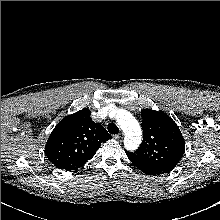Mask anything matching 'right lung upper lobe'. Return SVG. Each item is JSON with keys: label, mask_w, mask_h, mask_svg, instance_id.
Here are the masks:
<instances>
[{"label": "right lung upper lobe", "mask_w": 220, "mask_h": 220, "mask_svg": "<svg viewBox=\"0 0 220 220\" xmlns=\"http://www.w3.org/2000/svg\"><path fill=\"white\" fill-rule=\"evenodd\" d=\"M90 110L82 109L63 118L51 132L47 158L59 169L76 170L91 159L102 142L111 138L106 129L92 121Z\"/></svg>", "instance_id": "obj_1"}]
</instances>
